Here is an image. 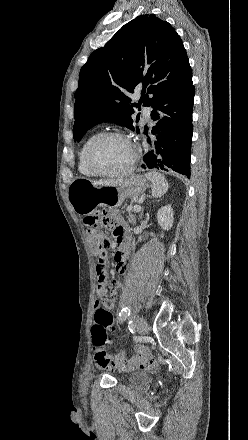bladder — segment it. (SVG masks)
<instances>
[{
  "mask_svg": "<svg viewBox=\"0 0 248 440\" xmlns=\"http://www.w3.org/2000/svg\"><path fill=\"white\" fill-rule=\"evenodd\" d=\"M128 379L133 383L140 384L148 380V374L142 370H131L128 373Z\"/></svg>",
  "mask_w": 248,
  "mask_h": 440,
  "instance_id": "obj_1",
  "label": "bladder"
}]
</instances>
